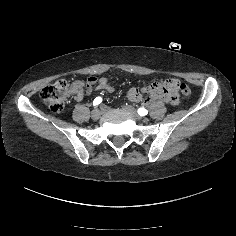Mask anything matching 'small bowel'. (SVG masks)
<instances>
[{"mask_svg":"<svg viewBox=\"0 0 236 236\" xmlns=\"http://www.w3.org/2000/svg\"><path fill=\"white\" fill-rule=\"evenodd\" d=\"M172 85L176 87L175 82L172 81ZM75 89L77 91V100H81L83 97L84 92L87 94L92 93L96 89H103L109 92L113 91V88L108 84L106 78H90L87 83L84 85L82 82H76L75 83ZM128 96L133 101H137L139 99V91L136 88H131L128 92Z\"/></svg>","mask_w":236,"mask_h":236,"instance_id":"1","label":"small bowel"}]
</instances>
